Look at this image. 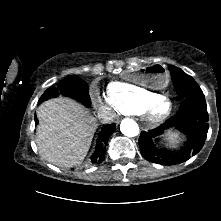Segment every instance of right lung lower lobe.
Returning a JSON list of instances; mask_svg holds the SVG:
<instances>
[{
	"mask_svg": "<svg viewBox=\"0 0 221 221\" xmlns=\"http://www.w3.org/2000/svg\"><path fill=\"white\" fill-rule=\"evenodd\" d=\"M37 123L38 120L35 117V124ZM115 129H116L115 124H108L102 127L101 132L99 134V138L97 140L96 150L91 157L92 163L98 164L104 160L107 142L111 134L115 131Z\"/></svg>",
	"mask_w": 221,
	"mask_h": 221,
	"instance_id": "1",
	"label": "right lung lower lobe"
}]
</instances>
